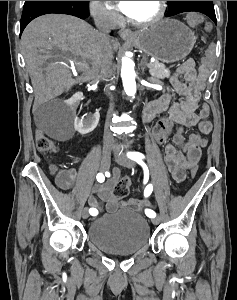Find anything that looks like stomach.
Listing matches in <instances>:
<instances>
[{"label":"stomach","mask_w":237,"mask_h":300,"mask_svg":"<svg viewBox=\"0 0 237 300\" xmlns=\"http://www.w3.org/2000/svg\"><path fill=\"white\" fill-rule=\"evenodd\" d=\"M134 35L131 43L136 49L163 63L185 59L196 43L193 31L175 19H162Z\"/></svg>","instance_id":"obj_1"}]
</instances>
